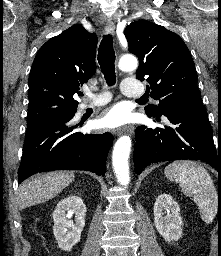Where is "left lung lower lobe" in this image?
<instances>
[{"mask_svg":"<svg viewBox=\"0 0 221 256\" xmlns=\"http://www.w3.org/2000/svg\"><path fill=\"white\" fill-rule=\"evenodd\" d=\"M161 115L171 126L136 129L134 165L138 175L148 164L180 159L204 161L221 174V153L213 143L206 110L170 109ZM161 115L152 117L161 122Z\"/></svg>","mask_w":221,"mask_h":256,"instance_id":"0a47b994","label":"left lung lower lobe"}]
</instances>
